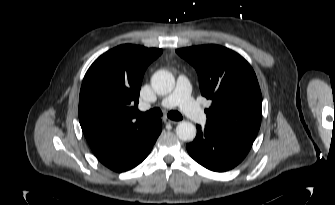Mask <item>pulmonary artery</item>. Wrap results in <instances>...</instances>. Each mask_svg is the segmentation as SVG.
<instances>
[{"label": "pulmonary artery", "mask_w": 335, "mask_h": 205, "mask_svg": "<svg viewBox=\"0 0 335 205\" xmlns=\"http://www.w3.org/2000/svg\"><path fill=\"white\" fill-rule=\"evenodd\" d=\"M160 105L164 108L178 106L193 122L198 124H204L206 122V115L191 97L190 82L183 75L178 77L174 91L164 98Z\"/></svg>", "instance_id": "1"}]
</instances>
